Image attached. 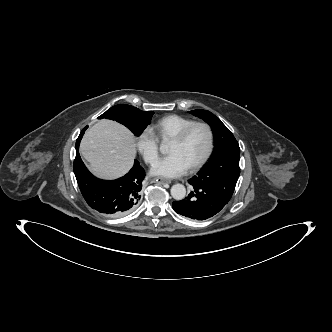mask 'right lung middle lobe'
I'll use <instances>...</instances> for the list:
<instances>
[{"label": "right lung middle lobe", "instance_id": "right-lung-middle-lobe-1", "mask_svg": "<svg viewBox=\"0 0 332 332\" xmlns=\"http://www.w3.org/2000/svg\"><path fill=\"white\" fill-rule=\"evenodd\" d=\"M153 114L152 111H142L134 106L119 104L107 110L98 119L115 120L129 128L136 136H140L150 124Z\"/></svg>", "mask_w": 332, "mask_h": 332}]
</instances>
